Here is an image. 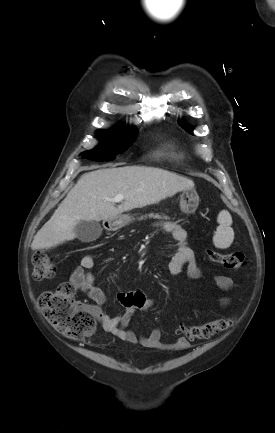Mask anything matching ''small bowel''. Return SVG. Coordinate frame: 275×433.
Here are the masks:
<instances>
[{
    "label": "small bowel",
    "instance_id": "small-bowel-1",
    "mask_svg": "<svg viewBox=\"0 0 275 433\" xmlns=\"http://www.w3.org/2000/svg\"><path fill=\"white\" fill-rule=\"evenodd\" d=\"M162 228L172 236L177 245L175 254L168 262L169 272L177 275L182 271L183 266L187 264L188 276L192 279L199 278L201 271L196 264L195 253L188 245L185 230L170 222L163 223ZM94 266V257L90 254L84 255L81 258L80 265L73 270L70 276V283L94 302V305L90 306L89 309L96 316L105 332L114 335L122 341L130 344L139 343L143 348L151 350L179 351L189 346V341L185 337H179L170 343L162 342L161 331L157 327L153 328L149 335L141 337H138L134 331L126 329L131 317L137 310H147L152 305L145 292L139 288L128 292H119L116 295V300L124 307V311L117 316L106 315L102 307L107 304L109 298L104 290L95 282V277L91 272ZM215 281L224 292H228L232 287V280L228 276L217 275L215 276ZM228 303V298L224 297L222 305L227 306Z\"/></svg>",
    "mask_w": 275,
    "mask_h": 433
}]
</instances>
